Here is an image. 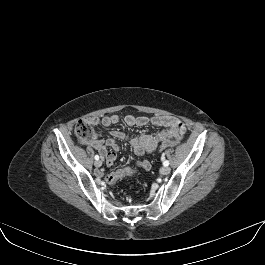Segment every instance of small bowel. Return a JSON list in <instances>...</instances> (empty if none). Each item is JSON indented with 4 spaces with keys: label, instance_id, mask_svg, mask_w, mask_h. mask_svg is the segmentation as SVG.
<instances>
[{
    "label": "small bowel",
    "instance_id": "small-bowel-1",
    "mask_svg": "<svg viewBox=\"0 0 265 265\" xmlns=\"http://www.w3.org/2000/svg\"><path fill=\"white\" fill-rule=\"evenodd\" d=\"M89 121L92 125L101 124L104 127H109L117 124L119 117L117 115H109L102 118L92 117ZM125 122L129 126L141 127L147 124H152L154 126L164 127L165 129L156 135L144 134L140 137L128 135L119 130H113L111 132V138L91 142V146L101 154L108 166H112L116 160V151L119 149L117 140L128 141L132 146L134 153L142 156L146 153L153 152L163 142L169 140H180L186 132L185 125L178 119L170 116H154L148 118L146 116L128 115L125 118ZM107 147L111 150H107ZM137 166L146 171L151 168V164L147 160L138 161Z\"/></svg>",
    "mask_w": 265,
    "mask_h": 265
}]
</instances>
